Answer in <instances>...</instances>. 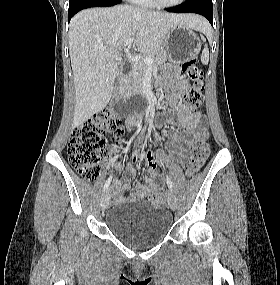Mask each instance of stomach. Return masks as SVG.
Masks as SVG:
<instances>
[{"label": "stomach", "instance_id": "0dacf381", "mask_svg": "<svg viewBox=\"0 0 280 285\" xmlns=\"http://www.w3.org/2000/svg\"><path fill=\"white\" fill-rule=\"evenodd\" d=\"M163 43L168 58L177 62L196 57L201 49L199 37L186 25L173 26Z\"/></svg>", "mask_w": 280, "mask_h": 285}]
</instances>
